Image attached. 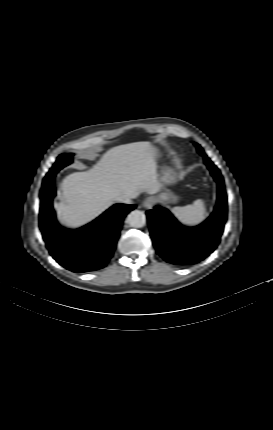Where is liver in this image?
<instances>
[{
  "instance_id": "1",
  "label": "liver",
  "mask_w": 273,
  "mask_h": 430,
  "mask_svg": "<svg viewBox=\"0 0 273 430\" xmlns=\"http://www.w3.org/2000/svg\"><path fill=\"white\" fill-rule=\"evenodd\" d=\"M150 142H134L109 149L91 169L75 172L61 183V201L54 204L58 221L69 229L81 228L121 196L156 194L158 179Z\"/></svg>"
}]
</instances>
